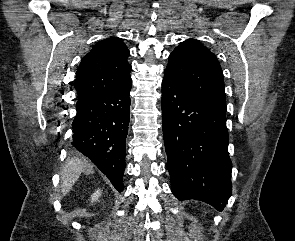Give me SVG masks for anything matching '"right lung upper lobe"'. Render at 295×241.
Here are the masks:
<instances>
[{"label":"right lung upper lobe","mask_w":295,"mask_h":241,"mask_svg":"<svg viewBox=\"0 0 295 241\" xmlns=\"http://www.w3.org/2000/svg\"><path fill=\"white\" fill-rule=\"evenodd\" d=\"M130 55L125 43L111 37L97 43L83 58L77 70L78 99L121 87L131 81Z\"/></svg>","instance_id":"cb5924a9"}]
</instances>
